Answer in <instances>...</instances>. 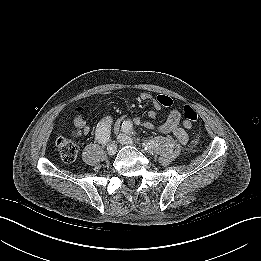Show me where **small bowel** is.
Returning <instances> with one entry per match:
<instances>
[{
    "instance_id": "small-bowel-1",
    "label": "small bowel",
    "mask_w": 261,
    "mask_h": 261,
    "mask_svg": "<svg viewBox=\"0 0 261 261\" xmlns=\"http://www.w3.org/2000/svg\"><path fill=\"white\" fill-rule=\"evenodd\" d=\"M166 98L170 100V98ZM139 99L145 102H149L152 105L153 109L148 112V116L150 118H155L156 111L161 107L170 106V104H165L159 99V97H155L149 92L141 93ZM106 118L103 120H106ZM134 123L149 130H156L162 134L172 133L176 137L177 141L182 145H185L188 142L187 131L192 128V123L187 121H183L182 125H180L181 113L177 109H172L169 112L167 119L157 127L152 122L146 121L141 117L134 118ZM74 124L79 128L82 134L87 135L89 133L90 129L83 118V109L81 107H78L75 111Z\"/></svg>"
}]
</instances>
